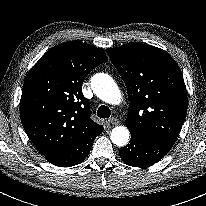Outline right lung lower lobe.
Masks as SVG:
<instances>
[{"instance_id": "right-lung-lower-lobe-1", "label": "right lung lower lobe", "mask_w": 206, "mask_h": 206, "mask_svg": "<svg viewBox=\"0 0 206 206\" xmlns=\"http://www.w3.org/2000/svg\"><path fill=\"white\" fill-rule=\"evenodd\" d=\"M103 131V129L89 136L82 142L61 152L45 156L46 160L51 164L60 167H71L83 162L88 156L95 138Z\"/></svg>"}]
</instances>
